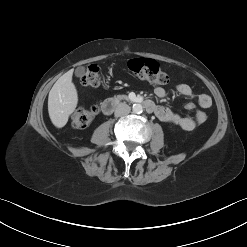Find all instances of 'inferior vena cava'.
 <instances>
[{
  "mask_svg": "<svg viewBox=\"0 0 247 247\" xmlns=\"http://www.w3.org/2000/svg\"><path fill=\"white\" fill-rule=\"evenodd\" d=\"M131 108L126 103H120L115 110V116H125L130 113Z\"/></svg>",
  "mask_w": 247,
  "mask_h": 247,
  "instance_id": "obj_1",
  "label": "inferior vena cava"
}]
</instances>
